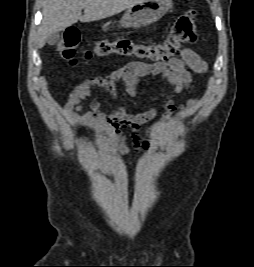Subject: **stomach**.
Returning a JSON list of instances; mask_svg holds the SVG:
<instances>
[{"label":"stomach","instance_id":"stomach-1","mask_svg":"<svg viewBox=\"0 0 254 267\" xmlns=\"http://www.w3.org/2000/svg\"><path fill=\"white\" fill-rule=\"evenodd\" d=\"M172 5V0H144L126 10L119 27L138 29L151 25L161 19Z\"/></svg>","mask_w":254,"mask_h":267}]
</instances>
